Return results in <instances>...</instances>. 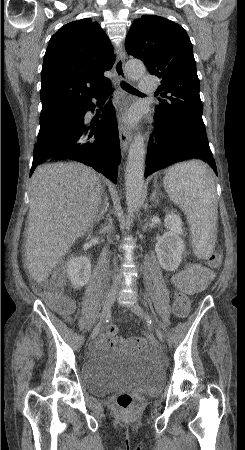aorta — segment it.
I'll return each mask as SVG.
<instances>
[{
    "mask_svg": "<svg viewBox=\"0 0 245 450\" xmlns=\"http://www.w3.org/2000/svg\"><path fill=\"white\" fill-rule=\"evenodd\" d=\"M126 73L131 80H138L146 72L143 62L135 59L127 61ZM145 145L144 137L138 134L130 145L128 161L125 171V192L128 212L137 211L144 184ZM131 222H128V226Z\"/></svg>",
    "mask_w": 245,
    "mask_h": 450,
    "instance_id": "762f6f07",
    "label": "aorta"
}]
</instances>
